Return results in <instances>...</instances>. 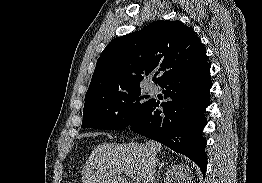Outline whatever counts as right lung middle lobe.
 Returning a JSON list of instances; mask_svg holds the SVG:
<instances>
[{
  "label": "right lung middle lobe",
  "instance_id": "right-lung-middle-lobe-1",
  "mask_svg": "<svg viewBox=\"0 0 262 183\" xmlns=\"http://www.w3.org/2000/svg\"><path fill=\"white\" fill-rule=\"evenodd\" d=\"M140 88L85 102L82 128L117 130L128 127L148 107Z\"/></svg>",
  "mask_w": 262,
  "mask_h": 183
}]
</instances>
